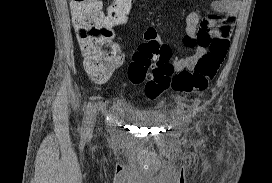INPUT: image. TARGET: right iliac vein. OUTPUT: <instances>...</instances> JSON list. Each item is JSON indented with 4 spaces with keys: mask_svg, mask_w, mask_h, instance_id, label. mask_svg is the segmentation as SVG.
<instances>
[{
    "mask_svg": "<svg viewBox=\"0 0 272 183\" xmlns=\"http://www.w3.org/2000/svg\"><path fill=\"white\" fill-rule=\"evenodd\" d=\"M96 115H97L96 109H94L93 112L91 113V117H90V123H89V127H88L89 132L92 131V129H93Z\"/></svg>",
    "mask_w": 272,
    "mask_h": 183,
    "instance_id": "right-iliac-vein-1",
    "label": "right iliac vein"
}]
</instances>
